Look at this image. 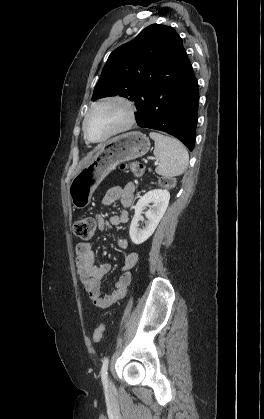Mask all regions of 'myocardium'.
<instances>
[{
  "instance_id": "1",
  "label": "myocardium",
  "mask_w": 264,
  "mask_h": 419,
  "mask_svg": "<svg viewBox=\"0 0 264 419\" xmlns=\"http://www.w3.org/2000/svg\"><path fill=\"white\" fill-rule=\"evenodd\" d=\"M109 104H119L125 109V112H126L125 121L120 126L116 127L115 129H113L112 131H110L108 134H106L104 137L100 139L95 140V139L90 138L87 132V122L90 115L97 108L105 106V105H109ZM135 119H136V108L130 99L122 95L107 96L93 103L91 107L89 108V110L87 111L83 120V124H82L83 134H84L85 139L89 143H92V144L102 143L116 135H119L129 130L134 125Z\"/></svg>"
}]
</instances>
